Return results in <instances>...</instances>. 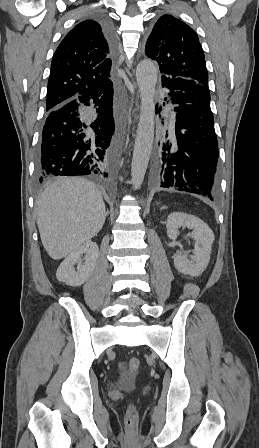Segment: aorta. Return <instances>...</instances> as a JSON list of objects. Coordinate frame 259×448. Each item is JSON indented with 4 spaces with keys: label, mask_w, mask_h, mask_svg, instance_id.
Wrapping results in <instances>:
<instances>
[{
    "label": "aorta",
    "mask_w": 259,
    "mask_h": 448,
    "mask_svg": "<svg viewBox=\"0 0 259 448\" xmlns=\"http://www.w3.org/2000/svg\"><path fill=\"white\" fill-rule=\"evenodd\" d=\"M157 77L158 68L155 62L142 60L138 64L136 80L140 91L141 109L131 164V183L135 189H139L143 183L153 146Z\"/></svg>",
    "instance_id": "aorta-1"
}]
</instances>
